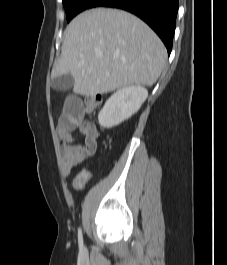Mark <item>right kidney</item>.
<instances>
[{
  "label": "right kidney",
  "instance_id": "obj_1",
  "mask_svg": "<svg viewBox=\"0 0 227 265\" xmlns=\"http://www.w3.org/2000/svg\"><path fill=\"white\" fill-rule=\"evenodd\" d=\"M148 91L142 86H128L116 91L98 115L99 124L111 128L135 114L146 100Z\"/></svg>",
  "mask_w": 227,
  "mask_h": 265
}]
</instances>
